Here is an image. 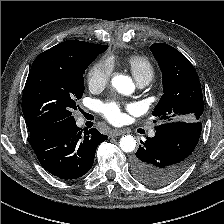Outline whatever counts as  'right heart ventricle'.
Segmentation results:
<instances>
[{"label": "right heart ventricle", "mask_w": 224, "mask_h": 224, "mask_svg": "<svg viewBox=\"0 0 224 224\" xmlns=\"http://www.w3.org/2000/svg\"><path fill=\"white\" fill-rule=\"evenodd\" d=\"M137 82H150L155 75V68L151 61L141 55H130L125 60Z\"/></svg>", "instance_id": "obj_1"}]
</instances>
